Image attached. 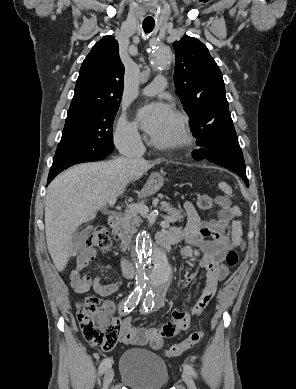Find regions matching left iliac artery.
Returning <instances> with one entry per match:
<instances>
[{
    "label": "left iliac artery",
    "mask_w": 296,
    "mask_h": 389,
    "mask_svg": "<svg viewBox=\"0 0 296 389\" xmlns=\"http://www.w3.org/2000/svg\"><path fill=\"white\" fill-rule=\"evenodd\" d=\"M149 294H150V292H149ZM151 294H152V292H151ZM146 296H145L146 300L144 299L143 307L146 310V312H148V307H150V304L148 303V292L146 293ZM183 367H184V370L189 372L192 376H194V377L197 376L194 368L190 364H184Z\"/></svg>",
    "instance_id": "44dca946"
}]
</instances>
